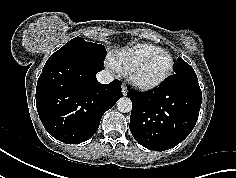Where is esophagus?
Masks as SVG:
<instances>
[{"label": "esophagus", "mask_w": 236, "mask_h": 178, "mask_svg": "<svg viewBox=\"0 0 236 178\" xmlns=\"http://www.w3.org/2000/svg\"><path fill=\"white\" fill-rule=\"evenodd\" d=\"M121 90H122V94L124 96H126L127 95V88L124 85H122Z\"/></svg>", "instance_id": "1"}]
</instances>
